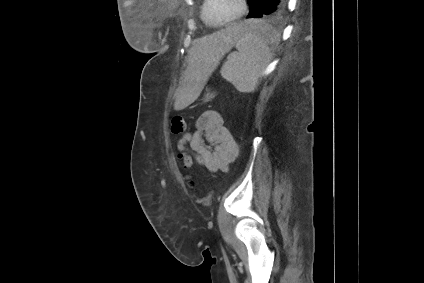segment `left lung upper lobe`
<instances>
[{
  "instance_id": "obj_1",
  "label": "left lung upper lobe",
  "mask_w": 424,
  "mask_h": 283,
  "mask_svg": "<svg viewBox=\"0 0 424 283\" xmlns=\"http://www.w3.org/2000/svg\"><path fill=\"white\" fill-rule=\"evenodd\" d=\"M247 1H248V4L250 5V13H249V15H252L255 12V10H256L258 0H247ZM282 11H283V9L281 8L280 10H278L274 14L270 15L269 17L278 16ZM263 18H266V17H263Z\"/></svg>"
}]
</instances>
